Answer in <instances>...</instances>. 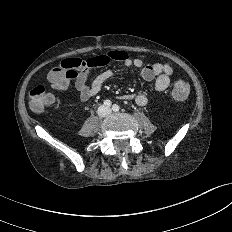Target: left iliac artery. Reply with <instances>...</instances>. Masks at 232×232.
<instances>
[{"instance_id":"1","label":"left iliac artery","mask_w":232,"mask_h":232,"mask_svg":"<svg viewBox=\"0 0 232 232\" xmlns=\"http://www.w3.org/2000/svg\"><path fill=\"white\" fill-rule=\"evenodd\" d=\"M112 109H113V111L117 112V111H119L120 107L117 104H114Z\"/></svg>"}]
</instances>
